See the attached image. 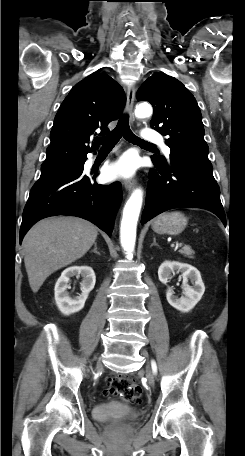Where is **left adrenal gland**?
<instances>
[{"mask_svg":"<svg viewBox=\"0 0 245 456\" xmlns=\"http://www.w3.org/2000/svg\"><path fill=\"white\" fill-rule=\"evenodd\" d=\"M152 246L160 247V246L156 243V238H155V237L153 238V243L151 244V247H152Z\"/></svg>","mask_w":245,"mask_h":456,"instance_id":"a2214340","label":"left adrenal gland"}]
</instances>
